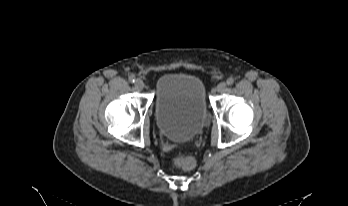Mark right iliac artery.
Here are the masks:
<instances>
[{
	"instance_id": "right-iliac-artery-1",
	"label": "right iliac artery",
	"mask_w": 348,
	"mask_h": 206,
	"mask_svg": "<svg viewBox=\"0 0 348 206\" xmlns=\"http://www.w3.org/2000/svg\"><path fill=\"white\" fill-rule=\"evenodd\" d=\"M135 80H136V78H135L134 75L129 76V81H130L131 83H134Z\"/></svg>"
}]
</instances>
